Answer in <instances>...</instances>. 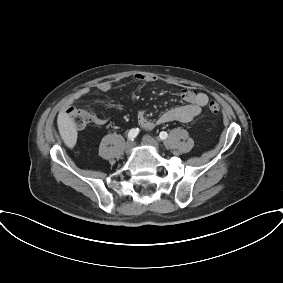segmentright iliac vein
Instances as JSON below:
<instances>
[{
  "mask_svg": "<svg viewBox=\"0 0 283 283\" xmlns=\"http://www.w3.org/2000/svg\"><path fill=\"white\" fill-rule=\"evenodd\" d=\"M132 148H133V142L132 141H128L126 143V145H125V148H124L125 153L129 154L131 152Z\"/></svg>",
  "mask_w": 283,
  "mask_h": 283,
  "instance_id": "63e3f726",
  "label": "right iliac vein"
}]
</instances>
